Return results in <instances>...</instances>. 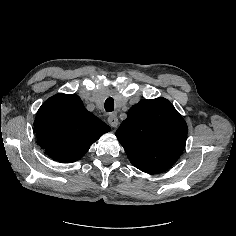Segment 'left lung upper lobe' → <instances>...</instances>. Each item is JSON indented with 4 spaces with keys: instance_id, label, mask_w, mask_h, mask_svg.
Instances as JSON below:
<instances>
[{
    "instance_id": "5c2ea615",
    "label": "left lung upper lobe",
    "mask_w": 236,
    "mask_h": 236,
    "mask_svg": "<svg viewBox=\"0 0 236 236\" xmlns=\"http://www.w3.org/2000/svg\"><path fill=\"white\" fill-rule=\"evenodd\" d=\"M187 124L165 98L142 100L128 111L116 136L130 162L153 174L168 170L182 154Z\"/></svg>"
}]
</instances>
